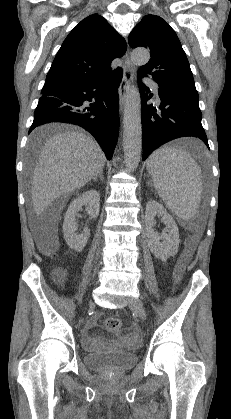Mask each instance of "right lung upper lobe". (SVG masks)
<instances>
[{
    "instance_id": "1",
    "label": "right lung upper lobe",
    "mask_w": 231,
    "mask_h": 419,
    "mask_svg": "<svg viewBox=\"0 0 231 419\" xmlns=\"http://www.w3.org/2000/svg\"><path fill=\"white\" fill-rule=\"evenodd\" d=\"M125 39L98 14L83 19L66 37L46 76L44 87L105 77L110 64L126 52Z\"/></svg>"
}]
</instances>
